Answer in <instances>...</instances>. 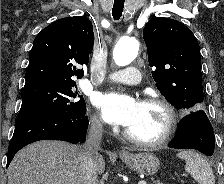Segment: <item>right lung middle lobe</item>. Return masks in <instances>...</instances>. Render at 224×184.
<instances>
[{
    "instance_id": "dd1d6c3e",
    "label": "right lung middle lobe",
    "mask_w": 224,
    "mask_h": 184,
    "mask_svg": "<svg viewBox=\"0 0 224 184\" xmlns=\"http://www.w3.org/2000/svg\"><path fill=\"white\" fill-rule=\"evenodd\" d=\"M21 109L15 119V126L34 116L62 114L79 116L86 113V104L77 91L76 83L34 81L25 84L22 91Z\"/></svg>"
}]
</instances>
